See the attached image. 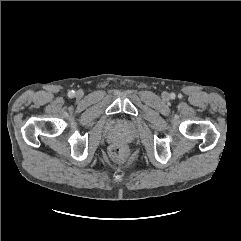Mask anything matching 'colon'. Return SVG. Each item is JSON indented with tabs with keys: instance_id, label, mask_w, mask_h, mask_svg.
<instances>
[{
	"instance_id": "obj_1",
	"label": "colon",
	"mask_w": 241,
	"mask_h": 241,
	"mask_svg": "<svg viewBox=\"0 0 241 241\" xmlns=\"http://www.w3.org/2000/svg\"><path fill=\"white\" fill-rule=\"evenodd\" d=\"M110 156L114 160H122L125 157V149L121 146H113L110 149Z\"/></svg>"
}]
</instances>
